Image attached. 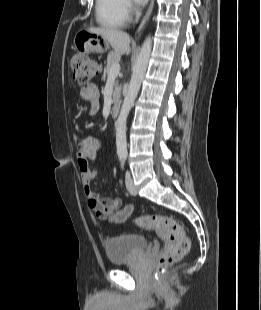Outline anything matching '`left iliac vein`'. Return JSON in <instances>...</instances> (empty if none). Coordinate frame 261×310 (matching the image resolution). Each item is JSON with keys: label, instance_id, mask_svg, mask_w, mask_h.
<instances>
[{"label": "left iliac vein", "instance_id": "1", "mask_svg": "<svg viewBox=\"0 0 261 310\" xmlns=\"http://www.w3.org/2000/svg\"><path fill=\"white\" fill-rule=\"evenodd\" d=\"M126 187L127 190L129 191L130 194L136 195L137 194V189L134 185L133 179L131 177L130 171L126 172V179H125Z\"/></svg>", "mask_w": 261, "mask_h": 310}]
</instances>
